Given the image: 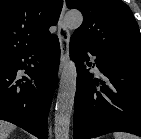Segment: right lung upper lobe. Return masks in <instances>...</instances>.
<instances>
[{
	"label": "right lung upper lobe",
	"mask_w": 141,
	"mask_h": 139,
	"mask_svg": "<svg viewBox=\"0 0 141 139\" xmlns=\"http://www.w3.org/2000/svg\"><path fill=\"white\" fill-rule=\"evenodd\" d=\"M63 0H0V59L47 43Z\"/></svg>",
	"instance_id": "cb5924a9"
}]
</instances>
